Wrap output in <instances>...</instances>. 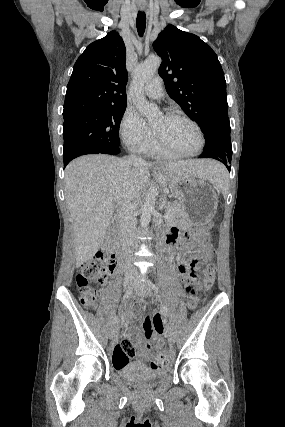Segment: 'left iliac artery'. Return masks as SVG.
Masks as SVG:
<instances>
[{
  "mask_svg": "<svg viewBox=\"0 0 285 427\" xmlns=\"http://www.w3.org/2000/svg\"><path fill=\"white\" fill-rule=\"evenodd\" d=\"M148 285L155 291V292H158L159 291V289H158V287L154 284V283H152L151 281H149L148 282ZM162 310H163V312H164V314H165V316H167L168 317V310H167V308H166V306L165 305H162Z\"/></svg>",
  "mask_w": 285,
  "mask_h": 427,
  "instance_id": "44dca946",
  "label": "left iliac artery"
}]
</instances>
